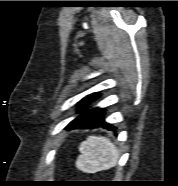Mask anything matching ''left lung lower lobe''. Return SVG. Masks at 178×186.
<instances>
[{
  "label": "left lung lower lobe",
  "instance_id": "left-lung-lower-lobe-1",
  "mask_svg": "<svg viewBox=\"0 0 178 186\" xmlns=\"http://www.w3.org/2000/svg\"><path fill=\"white\" fill-rule=\"evenodd\" d=\"M106 112L101 108H93L81 114L75 120H73L66 128L75 129V128H98L102 127L108 130H115L116 128L105 121Z\"/></svg>",
  "mask_w": 178,
  "mask_h": 186
}]
</instances>
